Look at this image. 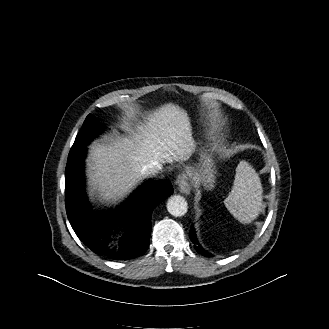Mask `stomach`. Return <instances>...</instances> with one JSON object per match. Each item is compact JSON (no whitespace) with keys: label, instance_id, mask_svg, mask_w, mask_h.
Returning <instances> with one entry per match:
<instances>
[{"label":"stomach","instance_id":"0dacf381","mask_svg":"<svg viewBox=\"0 0 329 329\" xmlns=\"http://www.w3.org/2000/svg\"><path fill=\"white\" fill-rule=\"evenodd\" d=\"M197 177L205 186V188L211 189L213 187L214 170L209 158H206L204 161L202 169L200 170V173L197 175Z\"/></svg>","mask_w":329,"mask_h":329}]
</instances>
